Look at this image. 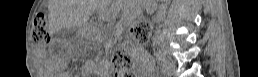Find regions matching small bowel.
<instances>
[{
    "instance_id": "c3829d8e",
    "label": "small bowel",
    "mask_w": 258,
    "mask_h": 77,
    "mask_svg": "<svg viewBox=\"0 0 258 77\" xmlns=\"http://www.w3.org/2000/svg\"><path fill=\"white\" fill-rule=\"evenodd\" d=\"M140 60H141V65L140 67L138 68L139 71H143L147 68V65H148V59L146 56L142 55L140 57Z\"/></svg>"
}]
</instances>
